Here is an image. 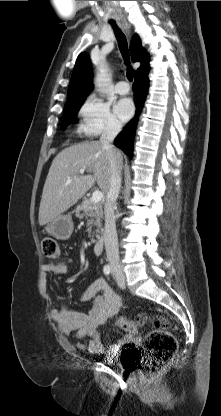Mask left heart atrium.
<instances>
[{
	"label": "left heart atrium",
	"instance_id": "39dd6f15",
	"mask_svg": "<svg viewBox=\"0 0 221 416\" xmlns=\"http://www.w3.org/2000/svg\"><path fill=\"white\" fill-rule=\"evenodd\" d=\"M115 113L122 121L130 119L134 113V105L130 99H121L115 105Z\"/></svg>",
	"mask_w": 221,
	"mask_h": 416
}]
</instances>
